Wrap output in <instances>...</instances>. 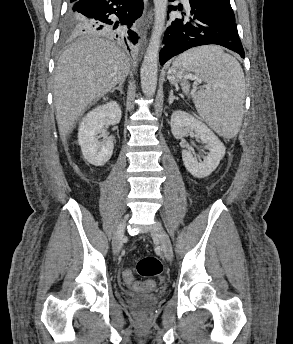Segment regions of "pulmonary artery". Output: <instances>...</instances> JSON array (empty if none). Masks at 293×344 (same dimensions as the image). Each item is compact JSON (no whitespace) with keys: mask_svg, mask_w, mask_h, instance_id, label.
I'll list each match as a JSON object with an SVG mask.
<instances>
[{"mask_svg":"<svg viewBox=\"0 0 293 344\" xmlns=\"http://www.w3.org/2000/svg\"><path fill=\"white\" fill-rule=\"evenodd\" d=\"M182 2H183L184 4H186V5H188L189 0H182Z\"/></svg>","mask_w":293,"mask_h":344,"instance_id":"1","label":"pulmonary artery"}]
</instances>
